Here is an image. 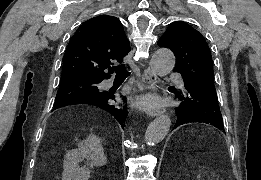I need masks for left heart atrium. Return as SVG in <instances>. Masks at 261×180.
<instances>
[{
  "label": "left heart atrium",
  "mask_w": 261,
  "mask_h": 180,
  "mask_svg": "<svg viewBox=\"0 0 261 180\" xmlns=\"http://www.w3.org/2000/svg\"><path fill=\"white\" fill-rule=\"evenodd\" d=\"M140 105L143 108H151L156 105V99L153 97H144L141 99Z\"/></svg>",
  "instance_id": "obj_1"
}]
</instances>
